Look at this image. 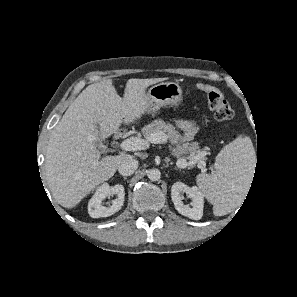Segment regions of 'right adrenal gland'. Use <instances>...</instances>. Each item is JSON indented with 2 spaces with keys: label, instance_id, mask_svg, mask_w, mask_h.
Instances as JSON below:
<instances>
[{
  "label": "right adrenal gland",
  "instance_id": "right-adrenal-gland-1",
  "mask_svg": "<svg viewBox=\"0 0 297 297\" xmlns=\"http://www.w3.org/2000/svg\"><path fill=\"white\" fill-rule=\"evenodd\" d=\"M123 179H124V180H127V177H126V176H123Z\"/></svg>",
  "mask_w": 297,
  "mask_h": 297
}]
</instances>
